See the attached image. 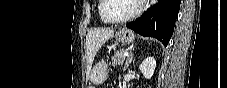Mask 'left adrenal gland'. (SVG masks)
Here are the masks:
<instances>
[{
    "label": "left adrenal gland",
    "instance_id": "a2214340",
    "mask_svg": "<svg viewBox=\"0 0 227 88\" xmlns=\"http://www.w3.org/2000/svg\"><path fill=\"white\" fill-rule=\"evenodd\" d=\"M134 62V59H133V50L130 51V54L126 60V63H125V67H124V70L128 69L130 63Z\"/></svg>",
    "mask_w": 227,
    "mask_h": 88
}]
</instances>
